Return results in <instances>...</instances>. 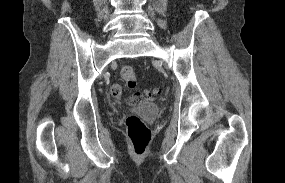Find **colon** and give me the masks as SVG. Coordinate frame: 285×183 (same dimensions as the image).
Masks as SVG:
<instances>
[{
	"instance_id": "1",
	"label": "colon",
	"mask_w": 285,
	"mask_h": 183,
	"mask_svg": "<svg viewBox=\"0 0 285 183\" xmlns=\"http://www.w3.org/2000/svg\"><path fill=\"white\" fill-rule=\"evenodd\" d=\"M121 76L129 88H134L136 86V73L132 66L124 65L121 68ZM158 94V89L148 90L144 94L136 93L129 99V102L135 104L145 97L151 99L156 97ZM125 125L134 153L137 155L143 154L150 143L151 130L139 117L135 115L128 116L125 120Z\"/></svg>"
}]
</instances>
